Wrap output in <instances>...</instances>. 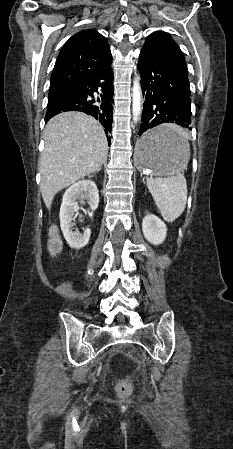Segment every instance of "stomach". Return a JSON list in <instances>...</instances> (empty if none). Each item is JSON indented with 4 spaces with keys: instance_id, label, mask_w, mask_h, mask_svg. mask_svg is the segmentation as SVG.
Masks as SVG:
<instances>
[{
    "instance_id": "1",
    "label": "stomach",
    "mask_w": 233,
    "mask_h": 449,
    "mask_svg": "<svg viewBox=\"0 0 233 449\" xmlns=\"http://www.w3.org/2000/svg\"><path fill=\"white\" fill-rule=\"evenodd\" d=\"M188 157L189 146L182 133L162 125L143 134L136 144L134 161L140 171L167 175L180 170Z\"/></svg>"
}]
</instances>
